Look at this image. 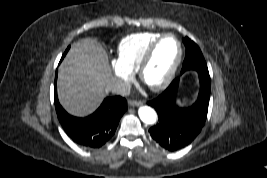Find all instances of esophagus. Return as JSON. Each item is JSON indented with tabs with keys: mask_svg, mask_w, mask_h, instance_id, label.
Returning a JSON list of instances; mask_svg holds the SVG:
<instances>
[{
	"mask_svg": "<svg viewBox=\"0 0 267 178\" xmlns=\"http://www.w3.org/2000/svg\"><path fill=\"white\" fill-rule=\"evenodd\" d=\"M142 104H143V102L137 101V100H130L129 101V105L130 106H139V105H142Z\"/></svg>",
	"mask_w": 267,
	"mask_h": 178,
	"instance_id": "34e87169",
	"label": "esophagus"
}]
</instances>
